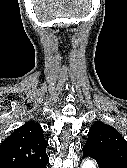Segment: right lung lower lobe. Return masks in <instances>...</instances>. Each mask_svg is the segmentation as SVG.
Masks as SVG:
<instances>
[{
  "mask_svg": "<svg viewBox=\"0 0 127 168\" xmlns=\"http://www.w3.org/2000/svg\"><path fill=\"white\" fill-rule=\"evenodd\" d=\"M48 162V158L40 163H24V162H18V163H6L1 164L0 168H46V164Z\"/></svg>",
  "mask_w": 127,
  "mask_h": 168,
  "instance_id": "obj_1",
  "label": "right lung lower lobe"
}]
</instances>
